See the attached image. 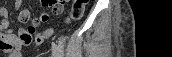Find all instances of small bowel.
I'll return each instance as SVG.
<instances>
[{
	"mask_svg": "<svg viewBox=\"0 0 172 57\" xmlns=\"http://www.w3.org/2000/svg\"><path fill=\"white\" fill-rule=\"evenodd\" d=\"M64 4L65 1L41 0V5L43 7H49L52 13L55 14H58L63 10ZM21 5L22 1L16 0L14 8L19 10ZM29 19L30 11L28 9H23L19 12V21L27 22ZM48 20L49 13L42 12L37 18L32 19L27 27L15 30L11 28L7 8L0 6V51L7 53L10 56H16L20 53L23 47L28 46L31 43L40 45L48 38L49 33H36V29L41 23H45Z\"/></svg>",
	"mask_w": 172,
	"mask_h": 57,
	"instance_id": "1",
	"label": "small bowel"
}]
</instances>
